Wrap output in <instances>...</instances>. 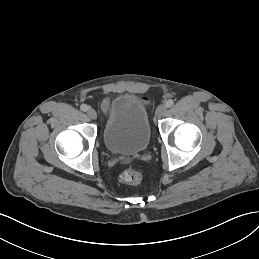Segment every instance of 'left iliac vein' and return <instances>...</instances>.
<instances>
[{"mask_svg":"<svg viewBox=\"0 0 259 259\" xmlns=\"http://www.w3.org/2000/svg\"><path fill=\"white\" fill-rule=\"evenodd\" d=\"M167 107L164 104H161L156 109V116L158 118L162 117L166 113Z\"/></svg>","mask_w":259,"mask_h":259,"instance_id":"4c4485c4","label":"left iliac vein"}]
</instances>
